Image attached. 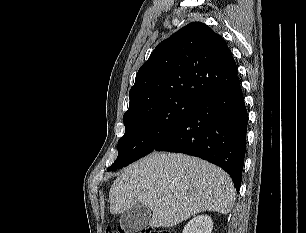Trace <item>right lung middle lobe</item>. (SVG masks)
<instances>
[{
	"label": "right lung middle lobe",
	"mask_w": 306,
	"mask_h": 233,
	"mask_svg": "<svg viewBox=\"0 0 306 233\" xmlns=\"http://www.w3.org/2000/svg\"><path fill=\"white\" fill-rule=\"evenodd\" d=\"M199 104L184 98L155 101L124 114L125 134L108 171L129 165L153 151Z\"/></svg>",
	"instance_id": "obj_1"
}]
</instances>
